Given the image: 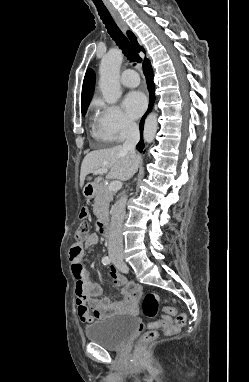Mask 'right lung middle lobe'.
<instances>
[{
  "instance_id": "dd1d6c3e",
  "label": "right lung middle lobe",
  "mask_w": 249,
  "mask_h": 382,
  "mask_svg": "<svg viewBox=\"0 0 249 382\" xmlns=\"http://www.w3.org/2000/svg\"><path fill=\"white\" fill-rule=\"evenodd\" d=\"M86 114V110L82 111V115H85Z\"/></svg>"
}]
</instances>
